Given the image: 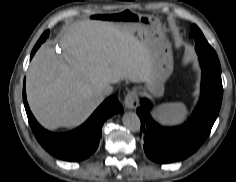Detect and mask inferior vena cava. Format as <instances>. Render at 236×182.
<instances>
[{"label":"inferior vena cava","instance_id":"1","mask_svg":"<svg viewBox=\"0 0 236 182\" xmlns=\"http://www.w3.org/2000/svg\"><path fill=\"white\" fill-rule=\"evenodd\" d=\"M112 92H113V87L109 84H106L101 88V93L104 96L110 95Z\"/></svg>","mask_w":236,"mask_h":182}]
</instances>
